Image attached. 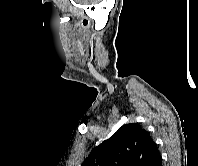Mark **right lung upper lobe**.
<instances>
[{"instance_id": "obj_1", "label": "right lung upper lobe", "mask_w": 198, "mask_h": 166, "mask_svg": "<svg viewBox=\"0 0 198 166\" xmlns=\"http://www.w3.org/2000/svg\"><path fill=\"white\" fill-rule=\"evenodd\" d=\"M159 154L149 133L130 123L95 147L82 166H149Z\"/></svg>"}]
</instances>
